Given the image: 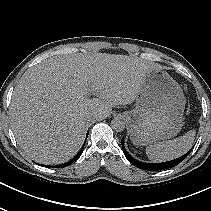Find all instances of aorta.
Here are the masks:
<instances>
[{
	"label": "aorta",
	"instance_id": "aorta-1",
	"mask_svg": "<svg viewBox=\"0 0 211 211\" xmlns=\"http://www.w3.org/2000/svg\"><path fill=\"white\" fill-rule=\"evenodd\" d=\"M111 127L117 132H121L125 128V122L120 118H114L111 121Z\"/></svg>",
	"mask_w": 211,
	"mask_h": 211
}]
</instances>
